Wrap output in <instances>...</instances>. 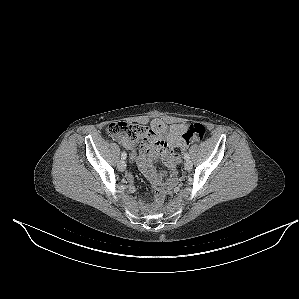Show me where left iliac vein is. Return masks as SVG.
Returning <instances> with one entry per match:
<instances>
[{
  "label": "left iliac vein",
  "instance_id": "4c4485c4",
  "mask_svg": "<svg viewBox=\"0 0 299 299\" xmlns=\"http://www.w3.org/2000/svg\"><path fill=\"white\" fill-rule=\"evenodd\" d=\"M184 167L186 170H191L192 168V162L190 160H186Z\"/></svg>",
  "mask_w": 299,
  "mask_h": 299
}]
</instances>
